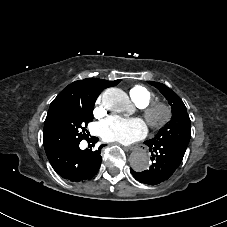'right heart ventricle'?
Returning a JSON list of instances; mask_svg holds the SVG:
<instances>
[{
	"instance_id": "e07e8e85",
	"label": "right heart ventricle",
	"mask_w": 227,
	"mask_h": 227,
	"mask_svg": "<svg viewBox=\"0 0 227 227\" xmlns=\"http://www.w3.org/2000/svg\"><path fill=\"white\" fill-rule=\"evenodd\" d=\"M129 95L140 107H144L153 99L152 92L141 85L132 86L129 90Z\"/></svg>"
}]
</instances>
